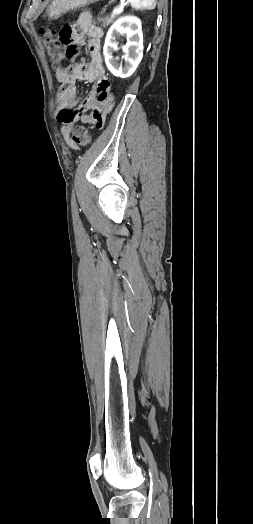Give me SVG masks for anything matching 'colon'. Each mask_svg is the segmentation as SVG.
Wrapping results in <instances>:
<instances>
[{
    "instance_id": "1",
    "label": "colon",
    "mask_w": 253,
    "mask_h": 524,
    "mask_svg": "<svg viewBox=\"0 0 253 524\" xmlns=\"http://www.w3.org/2000/svg\"><path fill=\"white\" fill-rule=\"evenodd\" d=\"M58 32L51 27H43L40 29L41 41L46 49L53 66L58 67L63 63L64 44L58 42ZM110 111V110H108ZM59 119L66 120V113L64 111L59 113ZM90 137L87 127L84 125H76L72 131V142L76 148H83L89 143Z\"/></svg>"
}]
</instances>
